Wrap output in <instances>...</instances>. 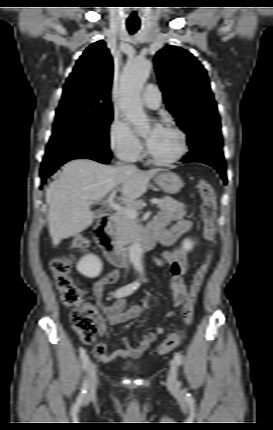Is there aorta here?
<instances>
[{
  "label": "aorta",
  "instance_id": "obj_1",
  "mask_svg": "<svg viewBox=\"0 0 273 430\" xmlns=\"http://www.w3.org/2000/svg\"><path fill=\"white\" fill-rule=\"evenodd\" d=\"M152 69V62L146 58L131 60L121 80V101L127 120L132 123L138 133L149 129V119L140 102V94L144 83ZM129 260L136 271H142V248L138 241L129 248Z\"/></svg>",
  "mask_w": 273,
  "mask_h": 430
}]
</instances>
